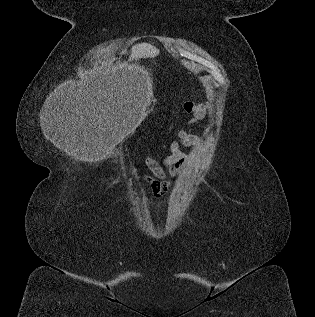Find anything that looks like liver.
Here are the masks:
<instances>
[{
	"mask_svg": "<svg viewBox=\"0 0 315 317\" xmlns=\"http://www.w3.org/2000/svg\"><path fill=\"white\" fill-rule=\"evenodd\" d=\"M160 53V51L152 46L149 45H140L135 47L132 50V54L130 56V60H134V59H140V58H154L156 56H158Z\"/></svg>",
	"mask_w": 315,
	"mask_h": 317,
	"instance_id": "obj_1",
	"label": "liver"
}]
</instances>
